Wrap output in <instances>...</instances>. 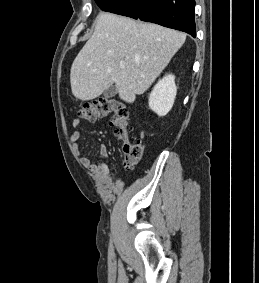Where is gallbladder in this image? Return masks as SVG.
I'll return each instance as SVG.
<instances>
[{
	"label": "gallbladder",
	"instance_id": "gallbladder-1",
	"mask_svg": "<svg viewBox=\"0 0 259 283\" xmlns=\"http://www.w3.org/2000/svg\"><path fill=\"white\" fill-rule=\"evenodd\" d=\"M117 93H118V90H117L116 86L112 85L104 91V97L105 98H111V97H114L115 95H117Z\"/></svg>",
	"mask_w": 259,
	"mask_h": 283
}]
</instances>
